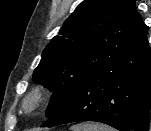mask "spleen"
Segmentation results:
<instances>
[{
    "mask_svg": "<svg viewBox=\"0 0 151 131\" xmlns=\"http://www.w3.org/2000/svg\"><path fill=\"white\" fill-rule=\"evenodd\" d=\"M71 131H115L110 126L99 123H83L71 127Z\"/></svg>",
    "mask_w": 151,
    "mask_h": 131,
    "instance_id": "spleen-1",
    "label": "spleen"
}]
</instances>
